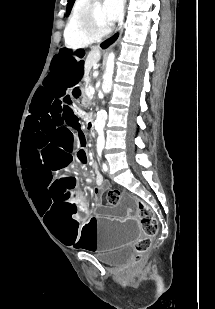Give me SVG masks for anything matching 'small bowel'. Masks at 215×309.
Returning a JSON list of instances; mask_svg holds the SVG:
<instances>
[{
  "label": "small bowel",
  "mask_w": 215,
  "mask_h": 309,
  "mask_svg": "<svg viewBox=\"0 0 215 309\" xmlns=\"http://www.w3.org/2000/svg\"><path fill=\"white\" fill-rule=\"evenodd\" d=\"M93 193L95 196H98L99 193H100V188L99 187H95L94 190H93Z\"/></svg>",
  "instance_id": "obj_1"
}]
</instances>
